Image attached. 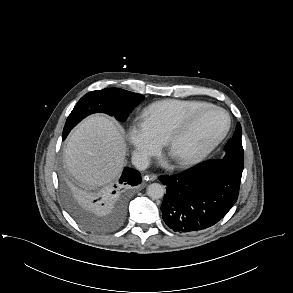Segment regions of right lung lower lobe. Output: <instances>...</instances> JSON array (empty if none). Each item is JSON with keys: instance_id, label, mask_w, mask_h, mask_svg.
I'll use <instances>...</instances> for the list:
<instances>
[{"instance_id": "98d812e1", "label": "right lung lower lobe", "mask_w": 293, "mask_h": 293, "mask_svg": "<svg viewBox=\"0 0 293 293\" xmlns=\"http://www.w3.org/2000/svg\"><path fill=\"white\" fill-rule=\"evenodd\" d=\"M141 175L137 170L124 168L122 176L114 187L99 193H82L87 205L97 214L113 216L114 228L121 225L125 216V190L130 186L138 185Z\"/></svg>"}]
</instances>
